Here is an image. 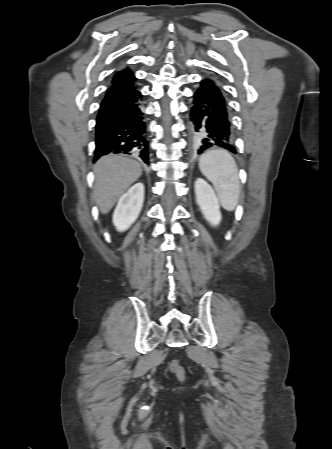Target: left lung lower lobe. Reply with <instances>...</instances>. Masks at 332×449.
<instances>
[{"instance_id":"1","label":"left lung lower lobe","mask_w":332,"mask_h":449,"mask_svg":"<svg viewBox=\"0 0 332 449\" xmlns=\"http://www.w3.org/2000/svg\"><path fill=\"white\" fill-rule=\"evenodd\" d=\"M188 131L194 153L201 154L211 147L236 152L226 97L210 78L203 79L193 95Z\"/></svg>"}]
</instances>
